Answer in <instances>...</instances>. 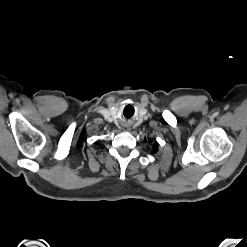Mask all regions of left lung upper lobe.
Masks as SVG:
<instances>
[{"label": "left lung upper lobe", "instance_id": "1", "mask_svg": "<svg viewBox=\"0 0 247 247\" xmlns=\"http://www.w3.org/2000/svg\"><path fill=\"white\" fill-rule=\"evenodd\" d=\"M156 150H157V147L155 146V150L153 151V153L156 152Z\"/></svg>", "mask_w": 247, "mask_h": 247}]
</instances>
